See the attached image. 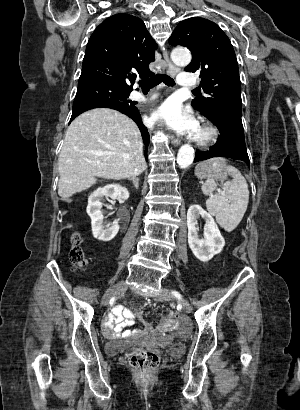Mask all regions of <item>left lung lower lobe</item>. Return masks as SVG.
Listing matches in <instances>:
<instances>
[{
  "mask_svg": "<svg viewBox=\"0 0 300 410\" xmlns=\"http://www.w3.org/2000/svg\"><path fill=\"white\" fill-rule=\"evenodd\" d=\"M209 120L217 126L221 135L209 151H196L194 162L213 157H228L242 160L249 166L241 116L220 112Z\"/></svg>",
  "mask_w": 300,
  "mask_h": 410,
  "instance_id": "0a47b994",
  "label": "left lung lower lobe"
}]
</instances>
